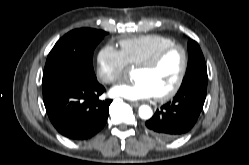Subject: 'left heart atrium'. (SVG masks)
Returning a JSON list of instances; mask_svg holds the SVG:
<instances>
[{"label": "left heart atrium", "instance_id": "39dd6f15", "mask_svg": "<svg viewBox=\"0 0 249 165\" xmlns=\"http://www.w3.org/2000/svg\"><path fill=\"white\" fill-rule=\"evenodd\" d=\"M110 93L112 96L133 101L149 99L155 96V93L150 85L142 79H135L132 82L119 83L111 89Z\"/></svg>", "mask_w": 249, "mask_h": 165}]
</instances>
